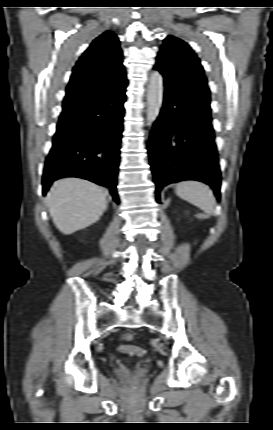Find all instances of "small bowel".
<instances>
[{
  "label": "small bowel",
  "instance_id": "c3829d8e",
  "mask_svg": "<svg viewBox=\"0 0 273 430\" xmlns=\"http://www.w3.org/2000/svg\"><path fill=\"white\" fill-rule=\"evenodd\" d=\"M131 346H126V345H123V346H120V349L121 350H126V349H129Z\"/></svg>",
  "mask_w": 273,
  "mask_h": 430
}]
</instances>
